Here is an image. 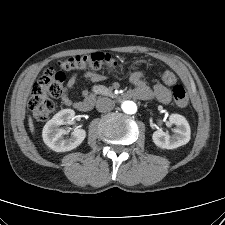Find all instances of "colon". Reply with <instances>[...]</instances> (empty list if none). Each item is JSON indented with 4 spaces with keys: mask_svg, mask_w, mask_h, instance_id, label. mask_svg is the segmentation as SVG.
Instances as JSON below:
<instances>
[{
    "mask_svg": "<svg viewBox=\"0 0 225 225\" xmlns=\"http://www.w3.org/2000/svg\"><path fill=\"white\" fill-rule=\"evenodd\" d=\"M62 66L65 70L93 68L97 70L107 69L115 72L124 71L121 62L114 59L110 54L103 52L71 57ZM65 78L64 71L49 68L34 84L28 106L36 120L45 121L54 112V99L62 95V84ZM161 78L167 84H174L176 82V76L169 70H165ZM172 94L175 103L179 107L184 108L188 106V94L182 85H174Z\"/></svg>",
    "mask_w": 225,
    "mask_h": 225,
    "instance_id": "obj_1",
    "label": "colon"
}]
</instances>
